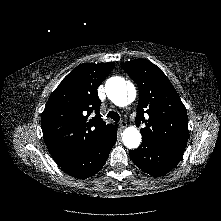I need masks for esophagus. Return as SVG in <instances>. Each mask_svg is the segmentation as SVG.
<instances>
[{"mask_svg":"<svg viewBox=\"0 0 221 221\" xmlns=\"http://www.w3.org/2000/svg\"><path fill=\"white\" fill-rule=\"evenodd\" d=\"M120 126H121V128H125V127H127V123L125 121H121Z\"/></svg>","mask_w":221,"mask_h":221,"instance_id":"esophagus-1","label":"esophagus"}]
</instances>
